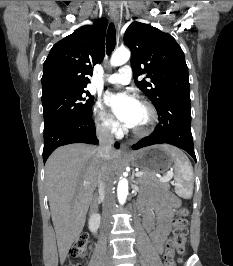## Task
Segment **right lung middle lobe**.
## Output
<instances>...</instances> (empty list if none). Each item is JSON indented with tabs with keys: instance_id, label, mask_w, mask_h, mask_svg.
Returning <instances> with one entry per match:
<instances>
[{
	"instance_id": "dd1d6c3e",
	"label": "right lung middle lobe",
	"mask_w": 233,
	"mask_h": 266,
	"mask_svg": "<svg viewBox=\"0 0 233 266\" xmlns=\"http://www.w3.org/2000/svg\"><path fill=\"white\" fill-rule=\"evenodd\" d=\"M93 100L94 97L85 88L42 95L44 129L65 120L91 115Z\"/></svg>"
}]
</instances>
